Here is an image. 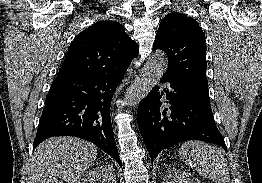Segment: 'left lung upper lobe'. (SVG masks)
Returning <instances> with one entry per match:
<instances>
[{"label":"left lung upper lobe","instance_id":"left-lung-upper-lobe-1","mask_svg":"<svg viewBox=\"0 0 262 183\" xmlns=\"http://www.w3.org/2000/svg\"><path fill=\"white\" fill-rule=\"evenodd\" d=\"M153 48L167 53V73L208 91L204 32L194 19L178 12L167 14L160 23Z\"/></svg>","mask_w":262,"mask_h":183}]
</instances>
